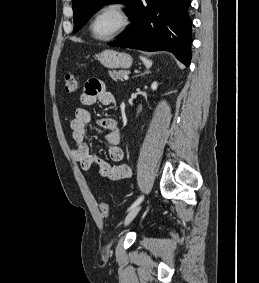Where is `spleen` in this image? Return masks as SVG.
I'll return each mask as SVG.
<instances>
[{
  "mask_svg": "<svg viewBox=\"0 0 259 283\" xmlns=\"http://www.w3.org/2000/svg\"><path fill=\"white\" fill-rule=\"evenodd\" d=\"M141 59H142V61L144 62L145 66L147 68H150L152 66V61H150V60H148V59H146L144 57H141Z\"/></svg>",
  "mask_w": 259,
  "mask_h": 283,
  "instance_id": "3e777b00",
  "label": "spleen"
}]
</instances>
